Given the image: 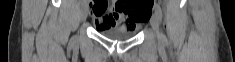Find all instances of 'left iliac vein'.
<instances>
[{
  "instance_id": "4c4485c4",
  "label": "left iliac vein",
  "mask_w": 235,
  "mask_h": 62,
  "mask_svg": "<svg viewBox=\"0 0 235 62\" xmlns=\"http://www.w3.org/2000/svg\"><path fill=\"white\" fill-rule=\"evenodd\" d=\"M150 23H151L153 31L155 32V34L157 36L158 43L162 44L163 43L162 33L160 32L159 21H158V17L156 14L152 15Z\"/></svg>"
}]
</instances>
